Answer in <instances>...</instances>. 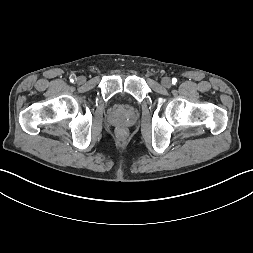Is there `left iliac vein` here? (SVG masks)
I'll return each instance as SVG.
<instances>
[{"label": "left iliac vein", "instance_id": "1", "mask_svg": "<svg viewBox=\"0 0 253 253\" xmlns=\"http://www.w3.org/2000/svg\"><path fill=\"white\" fill-rule=\"evenodd\" d=\"M161 83L164 87L169 88L172 85V82L169 77H163Z\"/></svg>", "mask_w": 253, "mask_h": 253}]
</instances>
